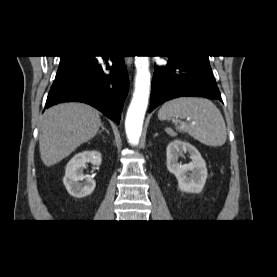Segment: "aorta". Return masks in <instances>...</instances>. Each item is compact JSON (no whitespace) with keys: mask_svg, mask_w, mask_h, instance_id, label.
Returning <instances> with one entry per match:
<instances>
[{"mask_svg":"<svg viewBox=\"0 0 277 277\" xmlns=\"http://www.w3.org/2000/svg\"><path fill=\"white\" fill-rule=\"evenodd\" d=\"M134 93L125 120V130L131 145H138L142 133L150 93L149 57H135Z\"/></svg>","mask_w":277,"mask_h":277,"instance_id":"aorta-1","label":"aorta"}]
</instances>
